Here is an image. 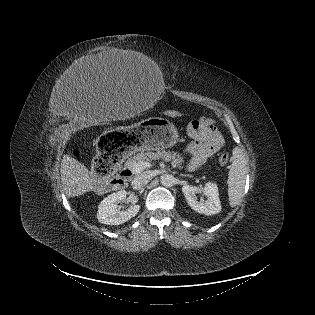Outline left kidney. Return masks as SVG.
Returning <instances> with one entry per match:
<instances>
[{"label":"left kidney","instance_id":"obj_1","mask_svg":"<svg viewBox=\"0 0 315 315\" xmlns=\"http://www.w3.org/2000/svg\"><path fill=\"white\" fill-rule=\"evenodd\" d=\"M182 192L188 205L198 213L213 215L221 211L218 187L215 183L208 182L204 187L184 185L182 187ZM197 193H203L207 200L201 199L198 201L196 196Z\"/></svg>","mask_w":315,"mask_h":315}]
</instances>
